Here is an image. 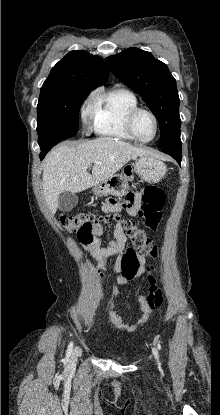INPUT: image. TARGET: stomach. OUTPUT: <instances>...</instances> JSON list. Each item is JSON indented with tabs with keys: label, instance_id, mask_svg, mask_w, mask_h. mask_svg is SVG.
<instances>
[{
	"label": "stomach",
	"instance_id": "0dacf381",
	"mask_svg": "<svg viewBox=\"0 0 220 415\" xmlns=\"http://www.w3.org/2000/svg\"><path fill=\"white\" fill-rule=\"evenodd\" d=\"M134 169L142 180L156 183L165 175L166 165L153 156H142L136 160ZM128 188V179L122 174H116L95 185L93 193L96 196L122 197L127 193Z\"/></svg>",
	"mask_w": 220,
	"mask_h": 415
}]
</instances>
